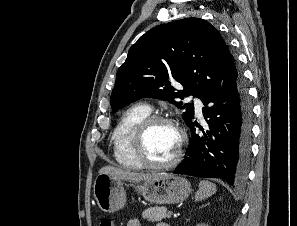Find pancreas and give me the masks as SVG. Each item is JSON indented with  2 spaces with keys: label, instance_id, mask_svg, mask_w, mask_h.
<instances>
[{
  "label": "pancreas",
  "instance_id": "1",
  "mask_svg": "<svg viewBox=\"0 0 297 226\" xmlns=\"http://www.w3.org/2000/svg\"><path fill=\"white\" fill-rule=\"evenodd\" d=\"M142 217L150 222L161 221L170 218L171 215L167 213L166 207L154 206L142 212Z\"/></svg>",
  "mask_w": 297,
  "mask_h": 226
}]
</instances>
